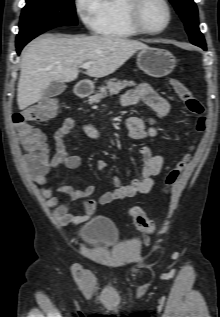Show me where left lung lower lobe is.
I'll return each instance as SVG.
<instances>
[{
    "mask_svg": "<svg viewBox=\"0 0 220 317\" xmlns=\"http://www.w3.org/2000/svg\"><path fill=\"white\" fill-rule=\"evenodd\" d=\"M199 47H201V48H203L204 50H206V45H201V46H199Z\"/></svg>",
    "mask_w": 220,
    "mask_h": 317,
    "instance_id": "1",
    "label": "left lung lower lobe"
}]
</instances>
